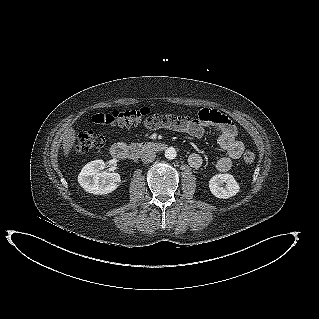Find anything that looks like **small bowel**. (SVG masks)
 Masks as SVG:
<instances>
[{"instance_id": "obj_1", "label": "small bowel", "mask_w": 319, "mask_h": 319, "mask_svg": "<svg viewBox=\"0 0 319 319\" xmlns=\"http://www.w3.org/2000/svg\"><path fill=\"white\" fill-rule=\"evenodd\" d=\"M95 123H104L102 114L92 116ZM149 129L167 128L173 131L185 133L193 138H201L208 127L218 132V145L225 152L216 167L219 171L226 172L233 166V162L239 159L245 149L242 141L238 139V131L234 123L224 114L217 110L205 108L199 111L197 117L177 116L173 113L155 115L144 122ZM202 157L198 153H192L188 157V163L192 168L202 165Z\"/></svg>"}]
</instances>
